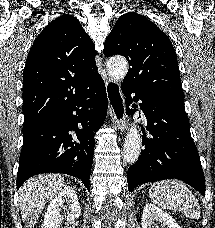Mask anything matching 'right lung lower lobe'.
Returning a JSON list of instances; mask_svg holds the SVG:
<instances>
[{
	"label": "right lung lower lobe",
	"mask_w": 215,
	"mask_h": 228,
	"mask_svg": "<svg viewBox=\"0 0 215 228\" xmlns=\"http://www.w3.org/2000/svg\"><path fill=\"white\" fill-rule=\"evenodd\" d=\"M107 106L104 81L97 75L63 107L24 126L17 189L28 178L51 172L77 177L90 190L94 136L104 122ZM70 131L75 132L76 141Z\"/></svg>",
	"instance_id": "obj_1"
}]
</instances>
